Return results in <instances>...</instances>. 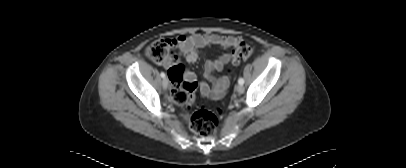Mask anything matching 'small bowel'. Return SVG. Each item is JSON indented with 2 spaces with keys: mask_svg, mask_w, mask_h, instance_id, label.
<instances>
[{
  "mask_svg": "<svg viewBox=\"0 0 406 168\" xmlns=\"http://www.w3.org/2000/svg\"><path fill=\"white\" fill-rule=\"evenodd\" d=\"M241 42V39L236 36H223L219 34H194L191 36L180 35L174 38L171 42L172 46L177 49V52L171 53L167 60L161 63L165 68L170 69L174 65L181 64L184 59L188 63H193L197 60L199 50L209 46H219L221 48H236ZM230 54H223L215 59L207 60L204 64L206 78L212 83V88L205 82L199 84L200 93L211 100L221 99L229 84L230 77L222 75L216 77L215 72L221 71L224 66L229 63ZM186 81L195 80V75L185 68L180 76Z\"/></svg>",
  "mask_w": 406,
  "mask_h": 168,
  "instance_id": "c3829d8e",
  "label": "small bowel"
}]
</instances>
